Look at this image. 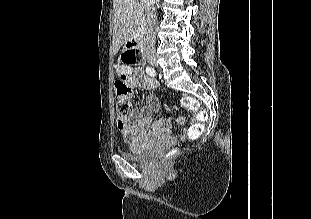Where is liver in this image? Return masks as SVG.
<instances>
[{"mask_svg":"<svg viewBox=\"0 0 311 219\" xmlns=\"http://www.w3.org/2000/svg\"><path fill=\"white\" fill-rule=\"evenodd\" d=\"M114 32L113 51L117 53L120 47L130 40L143 14V0H113Z\"/></svg>","mask_w":311,"mask_h":219,"instance_id":"1","label":"liver"}]
</instances>
